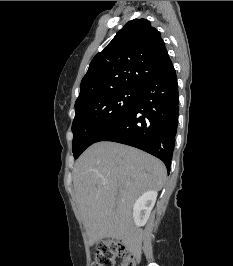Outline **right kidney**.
<instances>
[{"label":"right kidney","mask_w":233,"mask_h":266,"mask_svg":"<svg viewBox=\"0 0 233 266\" xmlns=\"http://www.w3.org/2000/svg\"><path fill=\"white\" fill-rule=\"evenodd\" d=\"M157 191H146L134 203L133 217L137 227L146 224L156 202Z\"/></svg>","instance_id":"ca27d5eb"}]
</instances>
